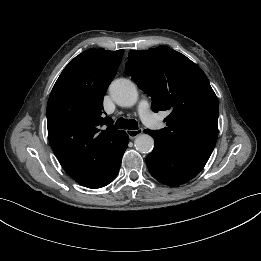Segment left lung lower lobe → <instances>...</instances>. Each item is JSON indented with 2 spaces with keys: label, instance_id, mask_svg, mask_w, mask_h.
I'll use <instances>...</instances> for the list:
<instances>
[{
  "label": "left lung lower lobe",
  "instance_id": "0a47b994",
  "mask_svg": "<svg viewBox=\"0 0 261 261\" xmlns=\"http://www.w3.org/2000/svg\"><path fill=\"white\" fill-rule=\"evenodd\" d=\"M149 134L148 130H145ZM147 158L146 164L151 175L159 182L181 185L199 174L211 154L190 153L176 150L158 139Z\"/></svg>",
  "mask_w": 261,
  "mask_h": 261
}]
</instances>
